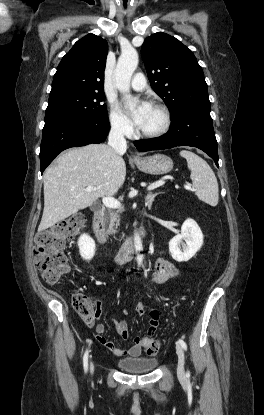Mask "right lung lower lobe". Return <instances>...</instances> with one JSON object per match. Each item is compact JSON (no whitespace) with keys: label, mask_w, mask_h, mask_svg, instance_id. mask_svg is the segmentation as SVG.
Listing matches in <instances>:
<instances>
[{"label":"right lung lower lobe","mask_w":264,"mask_h":415,"mask_svg":"<svg viewBox=\"0 0 264 415\" xmlns=\"http://www.w3.org/2000/svg\"><path fill=\"white\" fill-rule=\"evenodd\" d=\"M110 124L104 119H74L45 124L40 147L41 173L63 150L105 141Z\"/></svg>","instance_id":"right-lung-lower-lobe-1"}]
</instances>
